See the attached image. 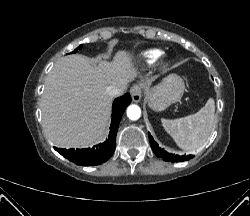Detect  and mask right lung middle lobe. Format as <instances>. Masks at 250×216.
Here are the masks:
<instances>
[{
    "mask_svg": "<svg viewBox=\"0 0 250 216\" xmlns=\"http://www.w3.org/2000/svg\"><path fill=\"white\" fill-rule=\"evenodd\" d=\"M81 48H82V45L78 47V49H81ZM76 51H77V49L74 52H72V53H75Z\"/></svg>",
    "mask_w": 250,
    "mask_h": 216,
    "instance_id": "obj_1",
    "label": "right lung middle lobe"
}]
</instances>
